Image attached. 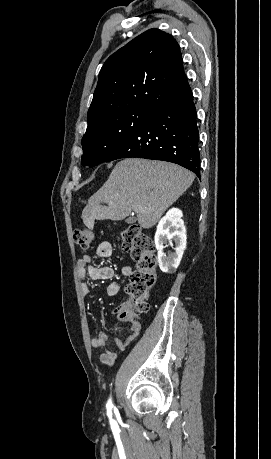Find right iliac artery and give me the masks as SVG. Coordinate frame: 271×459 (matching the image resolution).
Segmentation results:
<instances>
[{"instance_id": "1", "label": "right iliac artery", "mask_w": 271, "mask_h": 459, "mask_svg": "<svg viewBox=\"0 0 271 459\" xmlns=\"http://www.w3.org/2000/svg\"><path fill=\"white\" fill-rule=\"evenodd\" d=\"M106 408H107V415L110 418V422H114V420L111 419V417H112L111 409L113 408V404H112L111 399H109V401L107 402Z\"/></svg>"}]
</instances>
